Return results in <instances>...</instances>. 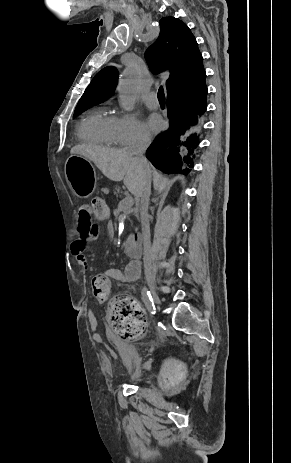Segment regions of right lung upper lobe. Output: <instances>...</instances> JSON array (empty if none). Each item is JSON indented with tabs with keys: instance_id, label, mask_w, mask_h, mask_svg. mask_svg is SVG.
<instances>
[{
	"instance_id": "1",
	"label": "right lung upper lobe",
	"mask_w": 291,
	"mask_h": 463,
	"mask_svg": "<svg viewBox=\"0 0 291 463\" xmlns=\"http://www.w3.org/2000/svg\"><path fill=\"white\" fill-rule=\"evenodd\" d=\"M145 57L154 72L170 71L166 81L168 93L196 88L205 72L195 37L182 21L174 17L160 20L159 37L147 49ZM117 79L115 68L102 69L95 75L77 105H94L107 100L115 90Z\"/></svg>"
}]
</instances>
